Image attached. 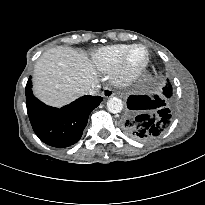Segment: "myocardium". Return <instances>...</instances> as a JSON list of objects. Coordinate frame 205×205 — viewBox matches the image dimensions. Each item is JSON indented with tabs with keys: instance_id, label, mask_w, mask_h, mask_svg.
Listing matches in <instances>:
<instances>
[{
	"instance_id": "obj_1",
	"label": "myocardium",
	"mask_w": 205,
	"mask_h": 205,
	"mask_svg": "<svg viewBox=\"0 0 205 205\" xmlns=\"http://www.w3.org/2000/svg\"><path fill=\"white\" fill-rule=\"evenodd\" d=\"M136 48H143L146 52V58L142 64L133 67L129 63V57ZM150 63L149 49L143 44L131 45L122 56L121 60L113 70V81L117 85L127 86L135 83L145 73Z\"/></svg>"
}]
</instances>
